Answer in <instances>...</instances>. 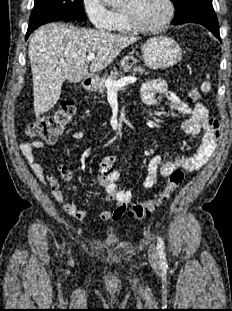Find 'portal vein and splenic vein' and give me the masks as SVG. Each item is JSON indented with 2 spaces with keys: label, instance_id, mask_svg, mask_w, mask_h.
<instances>
[{
  "label": "portal vein and splenic vein",
  "instance_id": "18ae733b",
  "mask_svg": "<svg viewBox=\"0 0 232 311\" xmlns=\"http://www.w3.org/2000/svg\"><path fill=\"white\" fill-rule=\"evenodd\" d=\"M95 58V54L92 52V53H89V55L87 56V61L90 62L92 61L93 59ZM136 78L135 77H123L119 80H111V79H108L106 82H105V85L107 87L108 90H115V89H118L120 87H123V86H126L128 84H132V83H135L136 82Z\"/></svg>",
  "mask_w": 232,
  "mask_h": 311
}]
</instances>
